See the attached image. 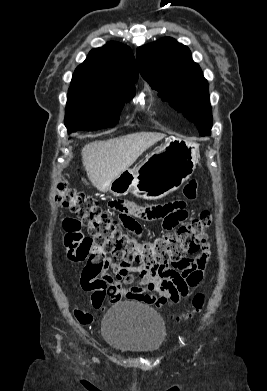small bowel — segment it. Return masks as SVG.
<instances>
[{"label":"small bowel","mask_w":267,"mask_h":391,"mask_svg":"<svg viewBox=\"0 0 267 391\" xmlns=\"http://www.w3.org/2000/svg\"><path fill=\"white\" fill-rule=\"evenodd\" d=\"M187 200L196 197V183L190 181L184 187ZM186 200H174L165 204L140 208L122 200L109 202V208L119 213V222L127 230L140 236L141 225L135 217L146 220H162V228L171 232L186 222L189 213ZM63 228L66 232L64 245L67 257L74 262L87 261L83 269L81 284L83 289L92 292L91 303L94 309H100L104 300L116 301L122 297L136 299L145 303L163 307L171 302H178L188 296L189 290L203 279L206 263L210 256L209 247H205L191 258L176 266L167 265L159 271L150 272L141 266H125L101 252L83 254L75 242L84 236L81 223L74 218H65ZM139 278L137 284L135 277ZM76 319L82 324L92 321V315L83 310H75Z\"/></svg>","instance_id":"small-bowel-1"}]
</instances>
